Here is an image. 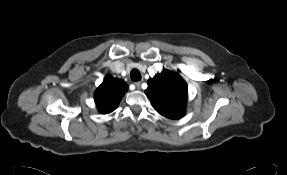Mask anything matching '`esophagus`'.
<instances>
[{"label": "esophagus", "mask_w": 287, "mask_h": 175, "mask_svg": "<svg viewBox=\"0 0 287 175\" xmlns=\"http://www.w3.org/2000/svg\"><path fill=\"white\" fill-rule=\"evenodd\" d=\"M134 85L136 86L137 89H140L141 87V82H135Z\"/></svg>", "instance_id": "34e87169"}]
</instances>
